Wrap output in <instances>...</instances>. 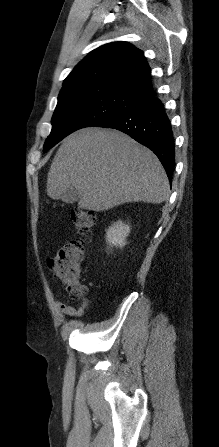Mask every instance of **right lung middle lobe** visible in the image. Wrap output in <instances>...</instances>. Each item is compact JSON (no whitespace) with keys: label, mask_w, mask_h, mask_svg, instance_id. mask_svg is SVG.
I'll list each match as a JSON object with an SVG mask.
<instances>
[{"label":"right lung middle lobe","mask_w":219,"mask_h":447,"mask_svg":"<svg viewBox=\"0 0 219 447\" xmlns=\"http://www.w3.org/2000/svg\"><path fill=\"white\" fill-rule=\"evenodd\" d=\"M140 102L138 98L109 86L80 85L62 89L43 152L72 132L97 126Z\"/></svg>","instance_id":"1"}]
</instances>
